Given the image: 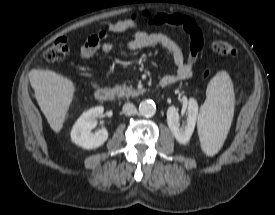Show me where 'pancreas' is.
I'll use <instances>...</instances> for the list:
<instances>
[{"instance_id": "1", "label": "pancreas", "mask_w": 275, "mask_h": 215, "mask_svg": "<svg viewBox=\"0 0 275 215\" xmlns=\"http://www.w3.org/2000/svg\"><path fill=\"white\" fill-rule=\"evenodd\" d=\"M116 92L120 97L125 96V97H135L143 93V90H135L132 87L126 86V85H120L116 87Z\"/></svg>"}]
</instances>
